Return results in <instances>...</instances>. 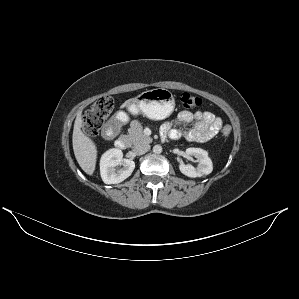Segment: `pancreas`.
Listing matches in <instances>:
<instances>
[{"label": "pancreas", "mask_w": 299, "mask_h": 299, "mask_svg": "<svg viewBox=\"0 0 299 299\" xmlns=\"http://www.w3.org/2000/svg\"><path fill=\"white\" fill-rule=\"evenodd\" d=\"M131 145L151 143L152 138L143 133V128L136 122L131 123L129 134L126 136Z\"/></svg>", "instance_id": "obj_1"}]
</instances>
